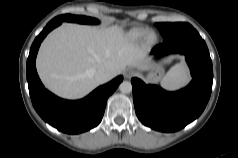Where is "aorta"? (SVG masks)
I'll use <instances>...</instances> for the list:
<instances>
[{
	"mask_svg": "<svg viewBox=\"0 0 238 158\" xmlns=\"http://www.w3.org/2000/svg\"><path fill=\"white\" fill-rule=\"evenodd\" d=\"M119 89L122 93H130L132 91V84L129 81H123Z\"/></svg>",
	"mask_w": 238,
	"mask_h": 158,
	"instance_id": "1",
	"label": "aorta"
}]
</instances>
